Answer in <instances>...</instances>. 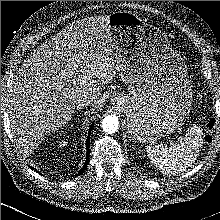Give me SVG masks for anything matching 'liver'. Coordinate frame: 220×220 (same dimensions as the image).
I'll use <instances>...</instances> for the list:
<instances>
[{
    "mask_svg": "<svg viewBox=\"0 0 220 220\" xmlns=\"http://www.w3.org/2000/svg\"><path fill=\"white\" fill-rule=\"evenodd\" d=\"M109 15L78 20L41 44L18 70L6 107L19 145L33 149L79 109L83 94L102 104L101 87L116 76L119 61Z\"/></svg>",
    "mask_w": 220,
    "mask_h": 220,
    "instance_id": "obj_1",
    "label": "liver"
}]
</instances>
